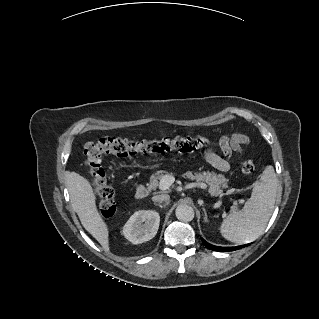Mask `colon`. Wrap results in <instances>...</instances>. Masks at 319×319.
Instances as JSON below:
<instances>
[{"label":"colon","instance_id":"1","mask_svg":"<svg viewBox=\"0 0 319 319\" xmlns=\"http://www.w3.org/2000/svg\"><path fill=\"white\" fill-rule=\"evenodd\" d=\"M210 144L204 137L174 138L158 141H129L115 137H103L86 144L84 149L83 167L91 180L98 208L104 217L114 212V190L109 185L102 161L107 156L129 157L137 154H161L178 152L190 154ZM244 174H252L255 166L251 161L241 164Z\"/></svg>","mask_w":319,"mask_h":319}]
</instances>
